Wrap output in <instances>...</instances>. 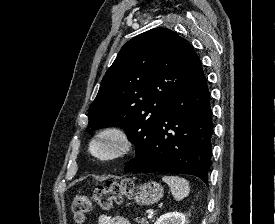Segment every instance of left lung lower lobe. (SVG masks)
I'll return each instance as SVG.
<instances>
[{
    "label": "left lung lower lobe",
    "instance_id": "1",
    "mask_svg": "<svg viewBox=\"0 0 275 224\" xmlns=\"http://www.w3.org/2000/svg\"><path fill=\"white\" fill-rule=\"evenodd\" d=\"M213 133L210 94L202 67L193 72L127 172L192 174L208 185Z\"/></svg>",
    "mask_w": 275,
    "mask_h": 224
}]
</instances>
